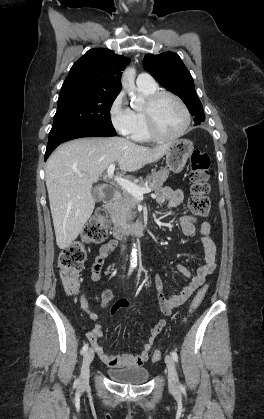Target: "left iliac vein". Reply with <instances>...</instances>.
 Listing matches in <instances>:
<instances>
[{
    "label": "left iliac vein",
    "mask_w": 264,
    "mask_h": 419,
    "mask_svg": "<svg viewBox=\"0 0 264 419\" xmlns=\"http://www.w3.org/2000/svg\"><path fill=\"white\" fill-rule=\"evenodd\" d=\"M165 363L168 368L169 387L170 389L175 390L178 387V376L173 357L171 355H166Z\"/></svg>",
    "instance_id": "4c4485c4"
}]
</instances>
